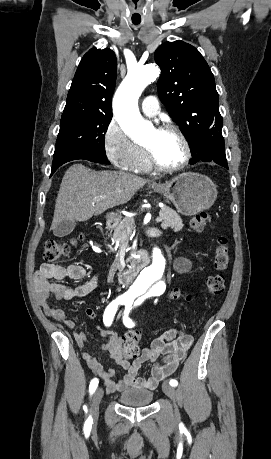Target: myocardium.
I'll return each mask as SVG.
<instances>
[{
  "mask_svg": "<svg viewBox=\"0 0 271 459\" xmlns=\"http://www.w3.org/2000/svg\"><path fill=\"white\" fill-rule=\"evenodd\" d=\"M156 129L158 131H160V132H172L175 135H177L180 138V140H181V142L183 144L184 155L177 162L166 163V162L162 161L157 156V154L154 152V150L151 147H149L148 145L144 144V147L146 149L147 155H148L150 161L152 162V164L156 168H158L159 170H162V171H175V170H180V169L186 167L190 163V161H191V159L193 157V150H192L191 143H190L187 135L184 133V131L178 125L173 123L172 121H168V122L162 123Z\"/></svg>",
  "mask_w": 271,
  "mask_h": 459,
  "instance_id": "obj_1",
  "label": "myocardium"
}]
</instances>
